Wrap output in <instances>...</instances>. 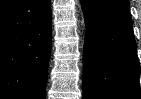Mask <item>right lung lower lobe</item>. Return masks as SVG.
Returning a JSON list of instances; mask_svg holds the SVG:
<instances>
[{
    "mask_svg": "<svg viewBox=\"0 0 141 99\" xmlns=\"http://www.w3.org/2000/svg\"><path fill=\"white\" fill-rule=\"evenodd\" d=\"M51 30L50 0L0 6V99H45Z\"/></svg>",
    "mask_w": 141,
    "mask_h": 99,
    "instance_id": "obj_1",
    "label": "right lung lower lobe"
}]
</instances>
